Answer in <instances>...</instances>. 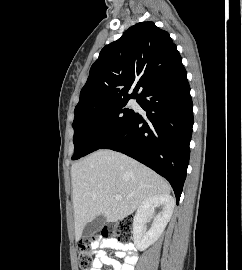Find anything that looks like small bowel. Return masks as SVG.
<instances>
[{"label": "small bowel", "instance_id": "small-bowel-1", "mask_svg": "<svg viewBox=\"0 0 242 270\" xmlns=\"http://www.w3.org/2000/svg\"><path fill=\"white\" fill-rule=\"evenodd\" d=\"M96 249V256L91 270H102L103 266L109 265L113 270H134L137 261L135 245L131 242H120L115 239H102L93 244ZM113 249L115 258L124 260L119 263L115 258H111L105 249Z\"/></svg>", "mask_w": 242, "mask_h": 270}]
</instances>
